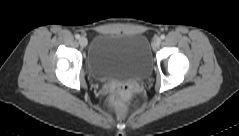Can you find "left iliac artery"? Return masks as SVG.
I'll return each mask as SVG.
<instances>
[{
    "label": "left iliac artery",
    "mask_w": 239,
    "mask_h": 136,
    "mask_svg": "<svg viewBox=\"0 0 239 136\" xmlns=\"http://www.w3.org/2000/svg\"><path fill=\"white\" fill-rule=\"evenodd\" d=\"M160 38H161V39H165V35L162 34V35L160 36Z\"/></svg>",
    "instance_id": "44dca946"
}]
</instances>
